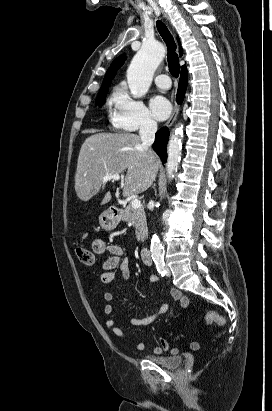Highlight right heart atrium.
<instances>
[{
  "mask_svg": "<svg viewBox=\"0 0 272 411\" xmlns=\"http://www.w3.org/2000/svg\"><path fill=\"white\" fill-rule=\"evenodd\" d=\"M109 121L121 131L153 129L156 121L144 103L134 98L125 85L115 87L108 100Z\"/></svg>",
  "mask_w": 272,
  "mask_h": 411,
  "instance_id": "right-heart-atrium-1",
  "label": "right heart atrium"
}]
</instances>
